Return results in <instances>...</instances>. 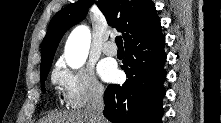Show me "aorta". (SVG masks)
Returning a JSON list of instances; mask_svg holds the SVG:
<instances>
[{
	"label": "aorta",
	"mask_w": 221,
	"mask_h": 123,
	"mask_svg": "<svg viewBox=\"0 0 221 123\" xmlns=\"http://www.w3.org/2000/svg\"><path fill=\"white\" fill-rule=\"evenodd\" d=\"M91 43V33L87 26H77L69 35L65 45V60L73 69L85 63Z\"/></svg>",
	"instance_id": "obj_1"
}]
</instances>
